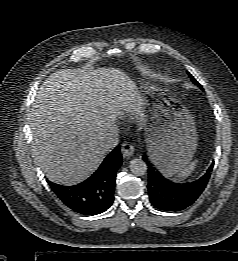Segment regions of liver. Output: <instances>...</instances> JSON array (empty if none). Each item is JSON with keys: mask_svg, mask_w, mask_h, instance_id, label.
Masks as SVG:
<instances>
[{"mask_svg": "<svg viewBox=\"0 0 238 261\" xmlns=\"http://www.w3.org/2000/svg\"><path fill=\"white\" fill-rule=\"evenodd\" d=\"M143 98L121 70H59L41 85L30 113L32 155L47 178L76 185L105 158L103 140L116 119L134 113L145 121Z\"/></svg>", "mask_w": 238, "mask_h": 261, "instance_id": "1", "label": "liver"}]
</instances>
